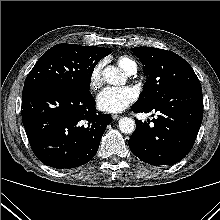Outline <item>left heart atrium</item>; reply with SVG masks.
I'll use <instances>...</instances> for the list:
<instances>
[{
  "instance_id": "obj_1",
  "label": "left heart atrium",
  "mask_w": 220,
  "mask_h": 220,
  "mask_svg": "<svg viewBox=\"0 0 220 220\" xmlns=\"http://www.w3.org/2000/svg\"><path fill=\"white\" fill-rule=\"evenodd\" d=\"M137 99V92L132 87H106L97 96L99 110L120 113Z\"/></svg>"
}]
</instances>
